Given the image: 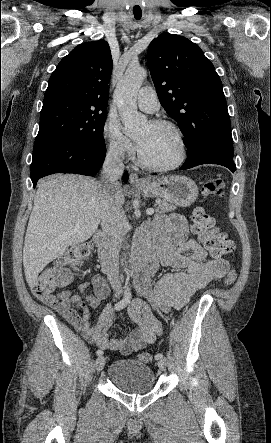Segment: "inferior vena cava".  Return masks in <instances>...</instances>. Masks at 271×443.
<instances>
[{
	"instance_id": "1",
	"label": "inferior vena cava",
	"mask_w": 271,
	"mask_h": 443,
	"mask_svg": "<svg viewBox=\"0 0 271 443\" xmlns=\"http://www.w3.org/2000/svg\"><path fill=\"white\" fill-rule=\"evenodd\" d=\"M124 156L123 144L119 146H110V150L105 158L103 170L101 172V180L97 182L96 188L102 192L108 208L111 212L108 218L102 220V229L108 231L110 235L109 243L101 257L102 271L106 273L112 289L120 291V275H119V251L124 235H126V227L124 225V218L121 216L119 210L120 206H116L118 190L121 176L124 172V164L122 158ZM116 296H121V293H116Z\"/></svg>"
}]
</instances>
